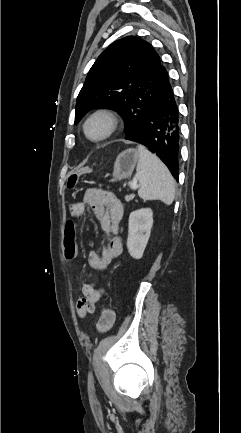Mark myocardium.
I'll return each instance as SVG.
<instances>
[{"mask_svg":"<svg viewBox=\"0 0 241 433\" xmlns=\"http://www.w3.org/2000/svg\"><path fill=\"white\" fill-rule=\"evenodd\" d=\"M95 121H101L104 125V129L99 135L92 136L89 134L88 128ZM120 125L121 119L115 111L100 108L86 117L82 125V131L87 140L93 143H100L111 138L118 131Z\"/></svg>","mask_w":241,"mask_h":433,"instance_id":"obj_1","label":"myocardium"}]
</instances>
